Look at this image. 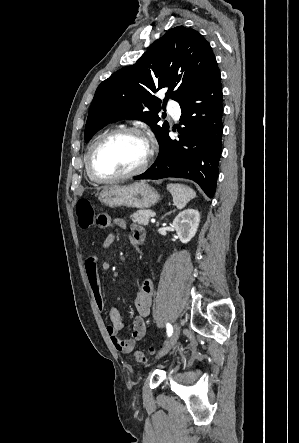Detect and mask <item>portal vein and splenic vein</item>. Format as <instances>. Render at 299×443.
<instances>
[{
  "mask_svg": "<svg viewBox=\"0 0 299 443\" xmlns=\"http://www.w3.org/2000/svg\"><path fill=\"white\" fill-rule=\"evenodd\" d=\"M149 215H150V217H155L156 216V214L154 212H151Z\"/></svg>",
  "mask_w": 299,
  "mask_h": 443,
  "instance_id": "obj_1",
  "label": "portal vein and splenic vein"
}]
</instances>
